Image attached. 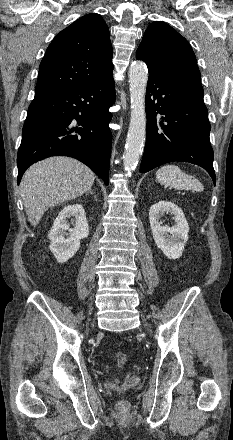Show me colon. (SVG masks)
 <instances>
[{
    "label": "colon",
    "instance_id": "5ec220e1",
    "mask_svg": "<svg viewBox=\"0 0 233 440\" xmlns=\"http://www.w3.org/2000/svg\"><path fill=\"white\" fill-rule=\"evenodd\" d=\"M114 360L118 367H122L125 365L127 361L126 353L122 351H118L114 353ZM117 409L120 412H125L128 410V403L124 400L120 401L117 405Z\"/></svg>",
    "mask_w": 233,
    "mask_h": 440
}]
</instances>
